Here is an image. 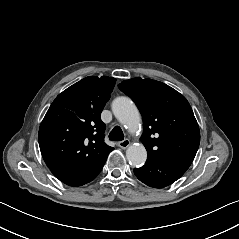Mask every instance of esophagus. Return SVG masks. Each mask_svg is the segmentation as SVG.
Here are the masks:
<instances>
[{
	"instance_id": "34e87169",
	"label": "esophagus",
	"mask_w": 239,
	"mask_h": 239,
	"mask_svg": "<svg viewBox=\"0 0 239 239\" xmlns=\"http://www.w3.org/2000/svg\"><path fill=\"white\" fill-rule=\"evenodd\" d=\"M130 145V140L129 139H124L123 141H120L118 143V146L122 149H126Z\"/></svg>"
}]
</instances>
